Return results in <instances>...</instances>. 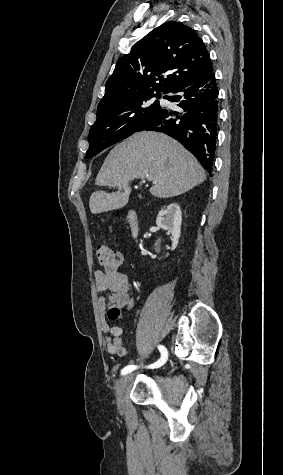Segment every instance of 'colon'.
Here are the masks:
<instances>
[{"label":"colon","mask_w":283,"mask_h":475,"mask_svg":"<svg viewBox=\"0 0 283 475\" xmlns=\"http://www.w3.org/2000/svg\"><path fill=\"white\" fill-rule=\"evenodd\" d=\"M98 262L108 271L119 269L122 257L115 249L107 245H100L96 250Z\"/></svg>","instance_id":"colon-1"}]
</instances>
